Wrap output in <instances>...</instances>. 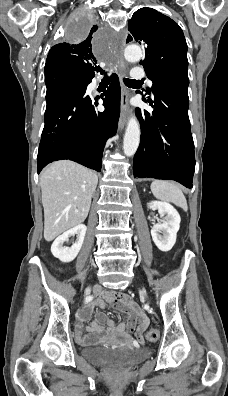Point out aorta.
Here are the masks:
<instances>
[{"label": "aorta", "mask_w": 228, "mask_h": 396, "mask_svg": "<svg viewBox=\"0 0 228 396\" xmlns=\"http://www.w3.org/2000/svg\"><path fill=\"white\" fill-rule=\"evenodd\" d=\"M125 58L130 62L139 61L142 57V50L139 46L129 45L124 50ZM140 126L135 115H132L128 121L124 141L123 150L126 156H133L139 146Z\"/></svg>", "instance_id": "1"}]
</instances>
